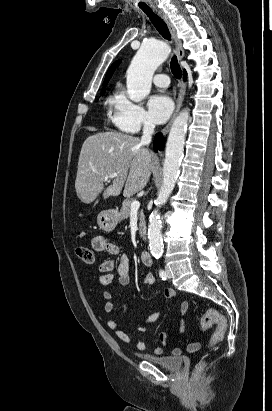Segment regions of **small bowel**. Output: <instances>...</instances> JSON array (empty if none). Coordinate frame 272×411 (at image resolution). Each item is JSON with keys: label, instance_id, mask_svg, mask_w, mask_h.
Masks as SVG:
<instances>
[{"label": "small bowel", "instance_id": "small-bowel-1", "mask_svg": "<svg viewBox=\"0 0 272 411\" xmlns=\"http://www.w3.org/2000/svg\"><path fill=\"white\" fill-rule=\"evenodd\" d=\"M92 248L99 253H108L112 256H115L116 259H106L100 263L99 270L101 272L100 275V283L103 286H110L114 282L119 285H126L130 281V261L129 258L121 253L120 247L108 240H106L103 236L97 235L92 239L91 242ZM142 284L144 286H153L156 284V278L151 273L148 272L144 278ZM165 297L167 299H175L178 295L177 291L174 288H167L164 292ZM103 298L105 300L104 304V311L105 313H111L114 309L113 304V294L112 292L106 290L103 292ZM189 304L187 301H182L179 306V326L177 329V333L181 334L185 330V314L188 310ZM162 312L158 311L155 313L150 314L146 318L142 320L143 324H151L158 320L161 316ZM107 327L115 334V336L120 339L124 343L134 344L135 348L138 351H144L146 349V343L142 340H135L133 339L123 328H121L114 320H108L106 323ZM138 331H145V327L139 326L137 327ZM170 333L169 332H162L159 335V340L163 346H165L168 342ZM200 348V344L198 342L190 343L186 350L188 352H195ZM163 352V348L161 346H154L153 353L156 355H160ZM174 355H181L183 350L181 348H174L172 350Z\"/></svg>", "mask_w": 272, "mask_h": 411}]
</instances>
